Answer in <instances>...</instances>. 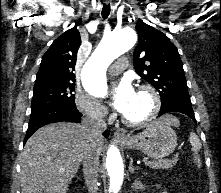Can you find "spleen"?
Instances as JSON below:
<instances>
[{"label": "spleen", "instance_id": "1", "mask_svg": "<svg viewBox=\"0 0 221 193\" xmlns=\"http://www.w3.org/2000/svg\"><path fill=\"white\" fill-rule=\"evenodd\" d=\"M189 141L192 145V151H194V152L200 151L201 142H200L198 136L195 133H193V132L190 133Z\"/></svg>", "mask_w": 221, "mask_h": 193}]
</instances>
